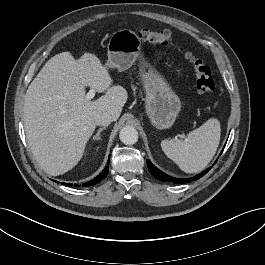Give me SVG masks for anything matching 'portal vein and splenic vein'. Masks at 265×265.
<instances>
[{
    "mask_svg": "<svg viewBox=\"0 0 265 265\" xmlns=\"http://www.w3.org/2000/svg\"><path fill=\"white\" fill-rule=\"evenodd\" d=\"M95 90L90 89L89 92L86 94V100H91L95 96Z\"/></svg>",
    "mask_w": 265,
    "mask_h": 265,
    "instance_id": "portal-vein-and-splenic-vein-1",
    "label": "portal vein and splenic vein"
}]
</instances>
